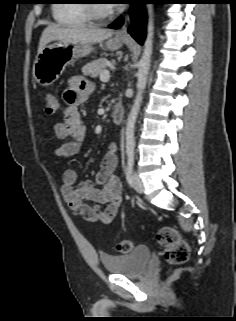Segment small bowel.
<instances>
[{
    "label": "small bowel",
    "mask_w": 236,
    "mask_h": 321,
    "mask_svg": "<svg viewBox=\"0 0 236 321\" xmlns=\"http://www.w3.org/2000/svg\"><path fill=\"white\" fill-rule=\"evenodd\" d=\"M92 91V85L83 77L69 80V86L63 94L67 104L63 120L53 125L54 135L66 142L55 150V156L70 157L79 152L86 136L80 106L88 100ZM117 167V147L115 142H111L94 179L78 184V172L74 169L65 170L61 193L71 210L86 221L110 223L117 215L123 199L122 184L116 176Z\"/></svg>",
    "instance_id": "obj_1"
}]
</instances>
